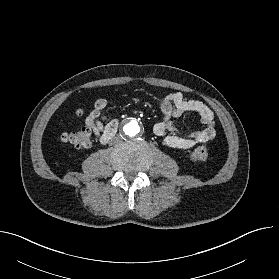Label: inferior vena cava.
I'll list each match as a JSON object with an SVG mask.
<instances>
[{
	"label": "inferior vena cava",
	"mask_w": 279,
	"mask_h": 279,
	"mask_svg": "<svg viewBox=\"0 0 279 279\" xmlns=\"http://www.w3.org/2000/svg\"><path fill=\"white\" fill-rule=\"evenodd\" d=\"M111 142L113 144H119L122 142V137L120 135H116L115 137L112 138Z\"/></svg>",
	"instance_id": "602c4592"
}]
</instances>
